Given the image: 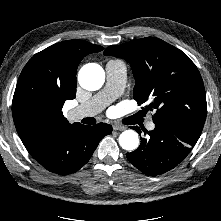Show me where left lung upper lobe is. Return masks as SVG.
Wrapping results in <instances>:
<instances>
[{"label":"left lung upper lobe","instance_id":"left-lung-upper-lobe-1","mask_svg":"<svg viewBox=\"0 0 221 221\" xmlns=\"http://www.w3.org/2000/svg\"><path fill=\"white\" fill-rule=\"evenodd\" d=\"M104 55L122 58L131 64L138 105L155 110V124L188 125L203 129L207 114L206 94L201 75L189 57L165 41L146 37L111 45Z\"/></svg>","mask_w":221,"mask_h":221}]
</instances>
